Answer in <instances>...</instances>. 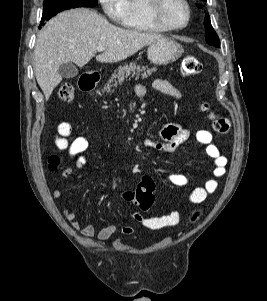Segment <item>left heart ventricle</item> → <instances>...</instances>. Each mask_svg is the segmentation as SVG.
I'll list each match as a JSON object with an SVG mask.
<instances>
[{
	"label": "left heart ventricle",
	"instance_id": "obj_1",
	"mask_svg": "<svg viewBox=\"0 0 267 301\" xmlns=\"http://www.w3.org/2000/svg\"><path fill=\"white\" fill-rule=\"evenodd\" d=\"M163 13L174 25H182L186 20V9L181 0H167Z\"/></svg>",
	"mask_w": 267,
	"mask_h": 301
}]
</instances>
